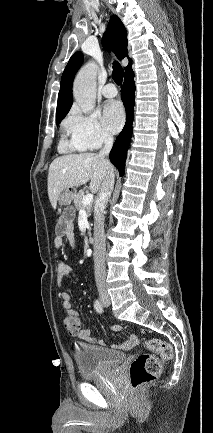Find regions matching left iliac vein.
<instances>
[{"instance_id":"1","label":"left iliac vein","mask_w":213,"mask_h":433,"mask_svg":"<svg viewBox=\"0 0 213 433\" xmlns=\"http://www.w3.org/2000/svg\"><path fill=\"white\" fill-rule=\"evenodd\" d=\"M103 305H104L105 307H108V306L110 305V299H109L108 296H106V299L104 300Z\"/></svg>"}]
</instances>
